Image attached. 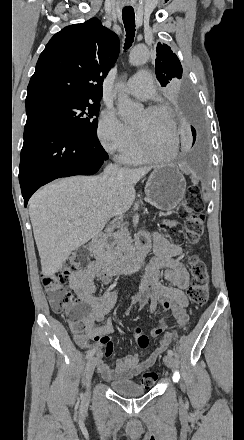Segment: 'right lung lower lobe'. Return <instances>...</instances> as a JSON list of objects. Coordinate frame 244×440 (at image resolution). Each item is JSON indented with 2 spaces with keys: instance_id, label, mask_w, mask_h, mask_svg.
Masks as SVG:
<instances>
[{
  "instance_id": "1",
  "label": "right lung lower lobe",
  "mask_w": 244,
  "mask_h": 440,
  "mask_svg": "<svg viewBox=\"0 0 244 440\" xmlns=\"http://www.w3.org/2000/svg\"><path fill=\"white\" fill-rule=\"evenodd\" d=\"M108 159L98 138L75 134L47 122H26L19 182L24 206L48 182L74 175H92Z\"/></svg>"
}]
</instances>
